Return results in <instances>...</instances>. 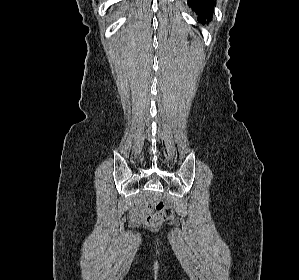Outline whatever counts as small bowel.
I'll use <instances>...</instances> for the list:
<instances>
[{
	"label": "small bowel",
	"instance_id": "1",
	"mask_svg": "<svg viewBox=\"0 0 299 280\" xmlns=\"http://www.w3.org/2000/svg\"><path fill=\"white\" fill-rule=\"evenodd\" d=\"M151 211L152 208L147 204L146 199H141L131 211V216L134 220L143 221Z\"/></svg>",
	"mask_w": 299,
	"mask_h": 280
}]
</instances>
